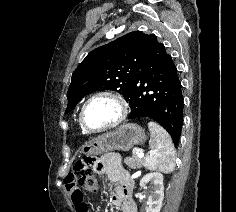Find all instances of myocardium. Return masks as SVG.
<instances>
[{"label":"myocardium","mask_w":236,"mask_h":212,"mask_svg":"<svg viewBox=\"0 0 236 212\" xmlns=\"http://www.w3.org/2000/svg\"><path fill=\"white\" fill-rule=\"evenodd\" d=\"M100 98H106L113 101L117 106L118 113H117L116 118L113 121L106 124L105 126L98 129H90L85 125L84 112H85L86 107L92 101L96 99H100ZM127 114H128V104L126 100L119 93L111 91V90H101V91L95 92L84 101L79 112V123L84 132L90 133V134H97V133H102V132L118 127L125 120V118L127 117Z\"/></svg>","instance_id":"1"}]
</instances>
